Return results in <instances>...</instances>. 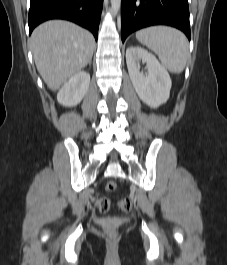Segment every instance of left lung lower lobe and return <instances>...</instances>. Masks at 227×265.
I'll return each instance as SVG.
<instances>
[{
	"label": "left lung lower lobe",
	"instance_id": "obj_1",
	"mask_svg": "<svg viewBox=\"0 0 227 265\" xmlns=\"http://www.w3.org/2000/svg\"><path fill=\"white\" fill-rule=\"evenodd\" d=\"M158 24L176 27L190 40L188 0H122V42L132 32Z\"/></svg>",
	"mask_w": 227,
	"mask_h": 265
}]
</instances>
